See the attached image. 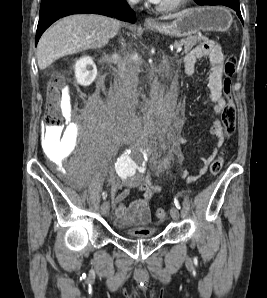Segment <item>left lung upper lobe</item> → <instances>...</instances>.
<instances>
[{"label": "left lung upper lobe", "instance_id": "left-lung-upper-lobe-1", "mask_svg": "<svg viewBox=\"0 0 267 298\" xmlns=\"http://www.w3.org/2000/svg\"><path fill=\"white\" fill-rule=\"evenodd\" d=\"M197 4H201L202 1L204 0H194Z\"/></svg>", "mask_w": 267, "mask_h": 298}]
</instances>
